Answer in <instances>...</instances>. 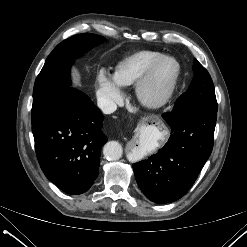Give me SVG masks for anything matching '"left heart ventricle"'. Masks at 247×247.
Wrapping results in <instances>:
<instances>
[{
    "instance_id": "obj_1",
    "label": "left heart ventricle",
    "mask_w": 247,
    "mask_h": 247,
    "mask_svg": "<svg viewBox=\"0 0 247 247\" xmlns=\"http://www.w3.org/2000/svg\"><path fill=\"white\" fill-rule=\"evenodd\" d=\"M173 64L169 61L162 63L156 70L150 93H157L160 91L170 79L173 72Z\"/></svg>"
}]
</instances>
